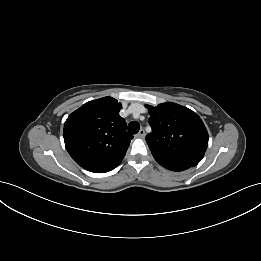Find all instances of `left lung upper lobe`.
Listing matches in <instances>:
<instances>
[{"mask_svg":"<svg viewBox=\"0 0 261 261\" xmlns=\"http://www.w3.org/2000/svg\"><path fill=\"white\" fill-rule=\"evenodd\" d=\"M146 107L152 128L146 142L152 155L196 166L208 146V132L201 118L192 110L173 102Z\"/></svg>","mask_w":261,"mask_h":261,"instance_id":"1","label":"left lung upper lobe"}]
</instances>
